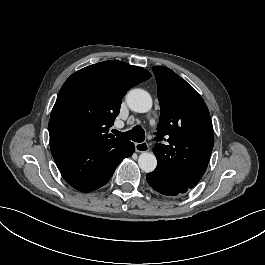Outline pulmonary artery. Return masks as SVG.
I'll return each mask as SVG.
<instances>
[{"label":"pulmonary artery","instance_id":"e3ab8cb5","mask_svg":"<svg viewBox=\"0 0 265 265\" xmlns=\"http://www.w3.org/2000/svg\"><path fill=\"white\" fill-rule=\"evenodd\" d=\"M151 123H152V125H155V121L154 120ZM122 127H123V124H116V128L117 129H120Z\"/></svg>","mask_w":265,"mask_h":265}]
</instances>
